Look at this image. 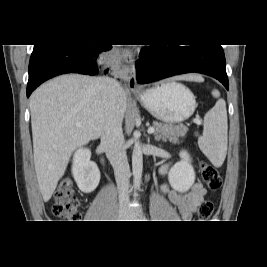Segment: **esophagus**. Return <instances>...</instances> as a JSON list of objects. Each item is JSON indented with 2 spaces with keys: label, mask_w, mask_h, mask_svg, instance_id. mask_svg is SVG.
I'll use <instances>...</instances> for the list:
<instances>
[{
  "label": "esophagus",
  "mask_w": 267,
  "mask_h": 267,
  "mask_svg": "<svg viewBox=\"0 0 267 267\" xmlns=\"http://www.w3.org/2000/svg\"><path fill=\"white\" fill-rule=\"evenodd\" d=\"M123 58L126 63L133 64L134 56L131 50L125 49L123 52ZM120 78L127 82L128 88L132 91H141L140 86L137 83L135 73L132 71L131 68H123L120 71Z\"/></svg>",
  "instance_id": "34e87169"
}]
</instances>
